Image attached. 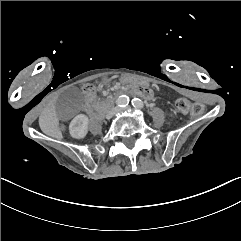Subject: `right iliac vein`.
Segmentation results:
<instances>
[{
    "mask_svg": "<svg viewBox=\"0 0 241 241\" xmlns=\"http://www.w3.org/2000/svg\"><path fill=\"white\" fill-rule=\"evenodd\" d=\"M118 112V109L117 108H114L111 112H110V114L107 116V118L108 119H110L115 113H117Z\"/></svg>",
    "mask_w": 241,
    "mask_h": 241,
    "instance_id": "obj_1",
    "label": "right iliac vein"
}]
</instances>
